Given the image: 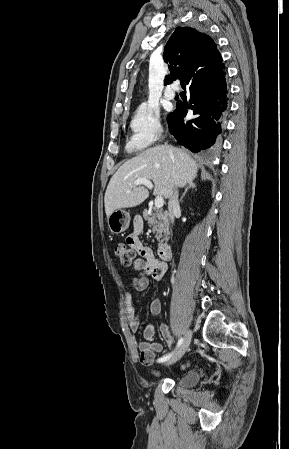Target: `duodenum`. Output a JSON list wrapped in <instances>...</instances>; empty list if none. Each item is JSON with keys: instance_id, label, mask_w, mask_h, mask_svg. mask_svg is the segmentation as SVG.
<instances>
[{"instance_id": "duodenum-1", "label": "duodenum", "mask_w": 289, "mask_h": 449, "mask_svg": "<svg viewBox=\"0 0 289 449\" xmlns=\"http://www.w3.org/2000/svg\"><path fill=\"white\" fill-rule=\"evenodd\" d=\"M158 254L162 260H164V261L169 260L172 256L171 245L168 243L161 244L158 248Z\"/></svg>"}]
</instances>
